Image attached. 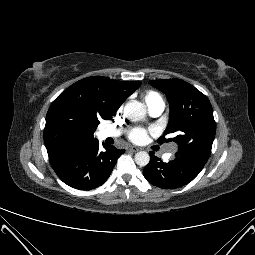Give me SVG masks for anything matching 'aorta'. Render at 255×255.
Instances as JSON below:
<instances>
[{
  "instance_id": "1",
  "label": "aorta",
  "mask_w": 255,
  "mask_h": 255,
  "mask_svg": "<svg viewBox=\"0 0 255 255\" xmlns=\"http://www.w3.org/2000/svg\"><path fill=\"white\" fill-rule=\"evenodd\" d=\"M146 112V107L138 101H131L124 107V114L130 121H139L144 119ZM149 161L150 156L147 152L140 151L135 154V162L137 165L144 167L148 165Z\"/></svg>"
}]
</instances>
